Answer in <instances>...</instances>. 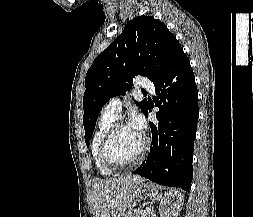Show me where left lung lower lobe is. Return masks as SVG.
<instances>
[{
	"label": "left lung lower lobe",
	"instance_id": "obj_1",
	"mask_svg": "<svg viewBox=\"0 0 253 217\" xmlns=\"http://www.w3.org/2000/svg\"><path fill=\"white\" fill-rule=\"evenodd\" d=\"M159 123H150V153L133 173L149 180L189 191L198 121V92L194 73L183 52L169 70L154 82ZM151 107L148 106L145 116Z\"/></svg>",
	"mask_w": 253,
	"mask_h": 217
}]
</instances>
